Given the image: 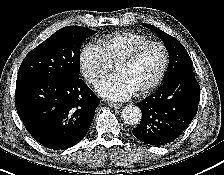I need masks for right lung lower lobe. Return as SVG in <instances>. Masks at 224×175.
Listing matches in <instances>:
<instances>
[{
	"instance_id": "obj_1",
	"label": "right lung lower lobe",
	"mask_w": 224,
	"mask_h": 175,
	"mask_svg": "<svg viewBox=\"0 0 224 175\" xmlns=\"http://www.w3.org/2000/svg\"><path fill=\"white\" fill-rule=\"evenodd\" d=\"M98 104L99 98L80 78L17 77V112L31 136L47 148L68 149L80 142Z\"/></svg>"
}]
</instances>
